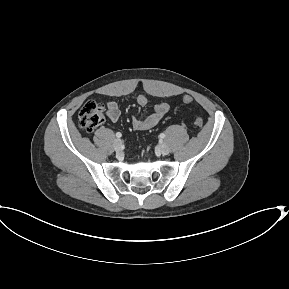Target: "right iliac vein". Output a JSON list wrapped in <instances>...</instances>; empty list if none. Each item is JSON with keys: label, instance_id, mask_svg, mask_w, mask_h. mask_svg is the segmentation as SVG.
<instances>
[{"label": "right iliac vein", "instance_id": "right-iliac-vein-1", "mask_svg": "<svg viewBox=\"0 0 289 289\" xmlns=\"http://www.w3.org/2000/svg\"><path fill=\"white\" fill-rule=\"evenodd\" d=\"M122 148H123V143H122V141H121L120 139H116V140L114 141V149H115V151L119 152V151L122 150Z\"/></svg>", "mask_w": 289, "mask_h": 289}]
</instances>
